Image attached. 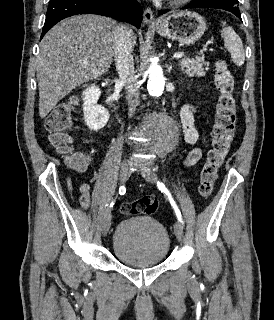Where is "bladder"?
Returning <instances> with one entry per match:
<instances>
[{"label":"bladder","instance_id":"1","mask_svg":"<svg viewBox=\"0 0 274 320\" xmlns=\"http://www.w3.org/2000/svg\"><path fill=\"white\" fill-rule=\"evenodd\" d=\"M170 246L166 228L149 216L136 215L123 219L113 233V253L127 266L160 264L167 258Z\"/></svg>","mask_w":274,"mask_h":320}]
</instances>
